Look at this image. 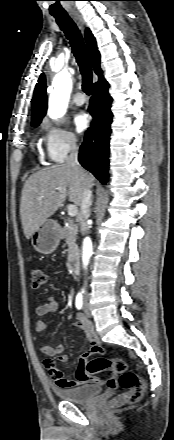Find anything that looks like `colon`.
<instances>
[{
    "mask_svg": "<svg viewBox=\"0 0 174 440\" xmlns=\"http://www.w3.org/2000/svg\"><path fill=\"white\" fill-rule=\"evenodd\" d=\"M29 274L32 287L39 288L45 282V275L41 269L31 268ZM85 368L89 373L111 371L114 375L119 376L118 379L110 376L106 380V384L110 388L119 386L124 390L122 395L112 401V406L114 407L136 403L143 395L145 390L143 379L135 372L129 370L128 364L123 359L97 358L89 361Z\"/></svg>",
    "mask_w": 174,
    "mask_h": 440,
    "instance_id": "obj_1",
    "label": "colon"
}]
</instances>
